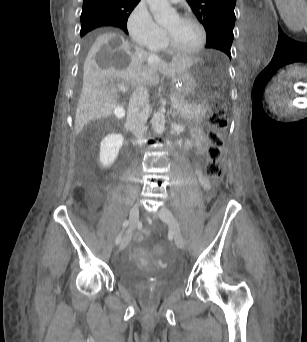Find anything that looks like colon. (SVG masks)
<instances>
[{
    "mask_svg": "<svg viewBox=\"0 0 307 342\" xmlns=\"http://www.w3.org/2000/svg\"><path fill=\"white\" fill-rule=\"evenodd\" d=\"M219 94H226V87L218 88ZM210 123L212 130L209 133L210 145L207 149L208 160L206 163V174L212 179H220L223 176V164L221 162L223 137L222 133L228 127V118L220 107H215L211 111ZM166 247L164 243L157 246V253H165Z\"/></svg>",
    "mask_w": 307,
    "mask_h": 342,
    "instance_id": "obj_1",
    "label": "colon"
}]
</instances>
